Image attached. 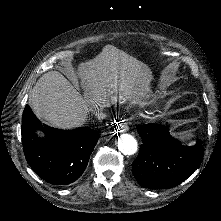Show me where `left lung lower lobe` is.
<instances>
[{
    "mask_svg": "<svg viewBox=\"0 0 221 221\" xmlns=\"http://www.w3.org/2000/svg\"><path fill=\"white\" fill-rule=\"evenodd\" d=\"M137 129L143 144L132 164V172L142 187H175L200 166L203 147L199 140L192 147L183 146L165 125L145 124Z\"/></svg>",
    "mask_w": 221,
    "mask_h": 221,
    "instance_id": "obj_1",
    "label": "left lung lower lobe"
}]
</instances>
